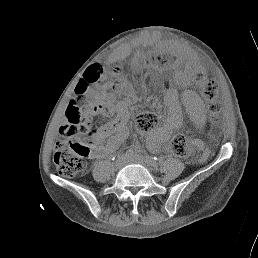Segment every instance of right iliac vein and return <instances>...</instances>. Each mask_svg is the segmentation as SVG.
Returning a JSON list of instances; mask_svg holds the SVG:
<instances>
[{"instance_id": "63e3f726", "label": "right iliac vein", "mask_w": 258, "mask_h": 258, "mask_svg": "<svg viewBox=\"0 0 258 258\" xmlns=\"http://www.w3.org/2000/svg\"><path fill=\"white\" fill-rule=\"evenodd\" d=\"M124 164V161L123 159H117L116 162H115V167L120 169Z\"/></svg>"}]
</instances>
